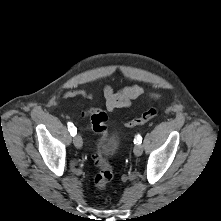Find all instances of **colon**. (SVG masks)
Returning <instances> with one entry per match:
<instances>
[{
  "label": "colon",
  "mask_w": 221,
  "mask_h": 221,
  "mask_svg": "<svg viewBox=\"0 0 221 221\" xmlns=\"http://www.w3.org/2000/svg\"><path fill=\"white\" fill-rule=\"evenodd\" d=\"M84 115H89L92 129L99 136V142L105 140L108 133L107 120L108 116L105 111L101 109H92L84 112ZM158 115V109L151 107L144 111L139 117L127 122L126 127H134L143 124ZM93 161L98 166L99 171L94 177V185L99 190H104L113 179V169L106 158L103 157L99 149L93 153Z\"/></svg>",
  "instance_id": "obj_1"
}]
</instances>
